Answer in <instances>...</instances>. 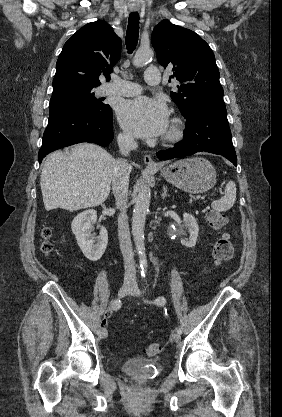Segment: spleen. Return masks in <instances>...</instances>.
<instances>
[{
	"mask_svg": "<svg viewBox=\"0 0 282 417\" xmlns=\"http://www.w3.org/2000/svg\"><path fill=\"white\" fill-rule=\"evenodd\" d=\"M236 198V184L233 180H229L225 186L224 196H221L219 200H213L211 206L214 211H219V213H223V211H229L232 209V206L235 202Z\"/></svg>",
	"mask_w": 282,
	"mask_h": 417,
	"instance_id": "obj_1",
	"label": "spleen"
}]
</instances>
